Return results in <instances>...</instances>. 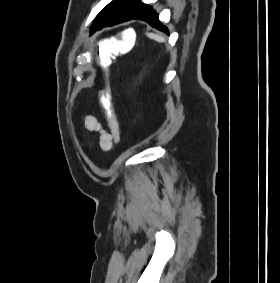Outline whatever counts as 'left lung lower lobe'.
<instances>
[{
	"instance_id": "0a47b994",
	"label": "left lung lower lobe",
	"mask_w": 280,
	"mask_h": 283,
	"mask_svg": "<svg viewBox=\"0 0 280 283\" xmlns=\"http://www.w3.org/2000/svg\"><path fill=\"white\" fill-rule=\"evenodd\" d=\"M143 20L146 21L149 25L152 27L165 32H168V29L166 26H164L158 18V13L155 12L151 6L149 5H144L137 13H135L131 17H118L115 19L108 20L104 22L102 25H100L95 31L100 30L103 27L107 26H113L115 24L123 23L129 20Z\"/></svg>"
}]
</instances>
